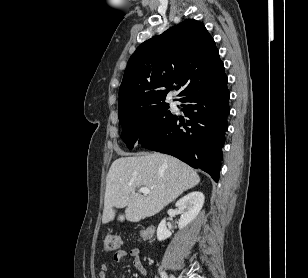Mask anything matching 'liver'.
Segmentation results:
<instances>
[{
	"label": "liver",
	"instance_id": "obj_1",
	"mask_svg": "<svg viewBox=\"0 0 308 278\" xmlns=\"http://www.w3.org/2000/svg\"><path fill=\"white\" fill-rule=\"evenodd\" d=\"M200 177L179 159L161 153L116 159L106 177L102 222L115 217L113 207H126L118 220L138 222L160 212L183 192L198 185ZM148 187L150 193H135L136 187Z\"/></svg>",
	"mask_w": 308,
	"mask_h": 278
}]
</instances>
